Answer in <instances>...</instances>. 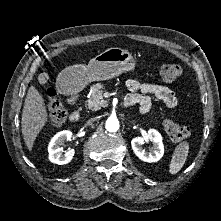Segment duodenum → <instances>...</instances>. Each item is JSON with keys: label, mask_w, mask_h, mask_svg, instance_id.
<instances>
[{"label": "duodenum", "mask_w": 221, "mask_h": 221, "mask_svg": "<svg viewBox=\"0 0 221 221\" xmlns=\"http://www.w3.org/2000/svg\"><path fill=\"white\" fill-rule=\"evenodd\" d=\"M60 91L69 99L71 104L74 105L78 102V100H79L78 96L73 92L72 88H70L66 85H63V86H61ZM124 107L126 108V106H124ZM81 113H82L81 108L76 107L70 115V120L72 122L79 121V119L81 117Z\"/></svg>", "instance_id": "1"}]
</instances>
